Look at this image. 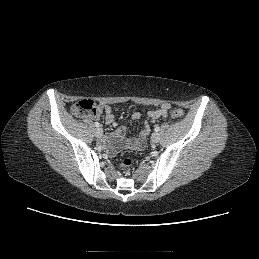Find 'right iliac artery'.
<instances>
[{"label":"right iliac artery","instance_id":"right-iliac-artery-1","mask_svg":"<svg viewBox=\"0 0 259 259\" xmlns=\"http://www.w3.org/2000/svg\"><path fill=\"white\" fill-rule=\"evenodd\" d=\"M95 126H96V127H99L100 124H99L98 122H95Z\"/></svg>","mask_w":259,"mask_h":259}]
</instances>
